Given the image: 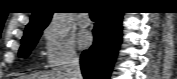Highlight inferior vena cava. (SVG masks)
I'll return each mask as SVG.
<instances>
[{"instance_id":"1","label":"inferior vena cava","mask_w":177,"mask_h":79,"mask_svg":"<svg viewBox=\"0 0 177 79\" xmlns=\"http://www.w3.org/2000/svg\"><path fill=\"white\" fill-rule=\"evenodd\" d=\"M68 79H82L79 57L75 52H71L65 68Z\"/></svg>"}]
</instances>
